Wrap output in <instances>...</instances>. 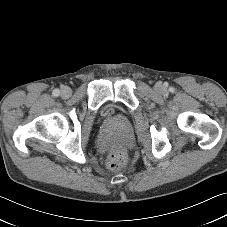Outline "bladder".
I'll return each mask as SVG.
<instances>
[{
	"mask_svg": "<svg viewBox=\"0 0 227 227\" xmlns=\"http://www.w3.org/2000/svg\"><path fill=\"white\" fill-rule=\"evenodd\" d=\"M116 110V105L113 102H108L106 104H104V106L102 107V115L104 117H107L111 114H113Z\"/></svg>",
	"mask_w": 227,
	"mask_h": 227,
	"instance_id": "1",
	"label": "bladder"
}]
</instances>
